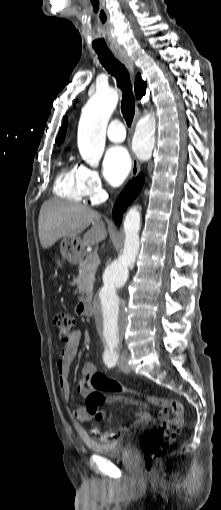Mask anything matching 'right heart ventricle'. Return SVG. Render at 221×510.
I'll return each mask as SVG.
<instances>
[{
  "mask_svg": "<svg viewBox=\"0 0 221 510\" xmlns=\"http://www.w3.org/2000/svg\"><path fill=\"white\" fill-rule=\"evenodd\" d=\"M54 193L72 202H82L85 195L80 180V167L64 164L58 172Z\"/></svg>",
  "mask_w": 221,
  "mask_h": 510,
  "instance_id": "right-heart-ventricle-1",
  "label": "right heart ventricle"
}]
</instances>
